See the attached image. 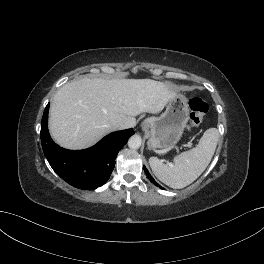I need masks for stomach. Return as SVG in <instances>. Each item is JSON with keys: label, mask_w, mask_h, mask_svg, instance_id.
I'll return each instance as SVG.
<instances>
[{"label": "stomach", "mask_w": 264, "mask_h": 264, "mask_svg": "<svg viewBox=\"0 0 264 264\" xmlns=\"http://www.w3.org/2000/svg\"><path fill=\"white\" fill-rule=\"evenodd\" d=\"M188 119V100L183 94H176L160 117H150L143 122L150 129L148 148L168 150L175 146L182 137Z\"/></svg>", "instance_id": "0dacf381"}]
</instances>
